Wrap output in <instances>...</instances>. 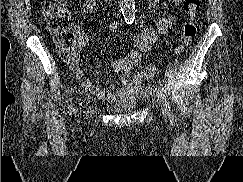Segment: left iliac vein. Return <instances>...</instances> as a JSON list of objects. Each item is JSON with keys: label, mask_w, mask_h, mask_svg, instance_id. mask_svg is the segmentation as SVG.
<instances>
[{"label": "left iliac vein", "mask_w": 243, "mask_h": 182, "mask_svg": "<svg viewBox=\"0 0 243 182\" xmlns=\"http://www.w3.org/2000/svg\"><path fill=\"white\" fill-rule=\"evenodd\" d=\"M158 100H159L160 105H161L163 117L166 119L167 115H168L167 108H166V100H165V98L163 97L162 94L158 95Z\"/></svg>", "instance_id": "1"}]
</instances>
